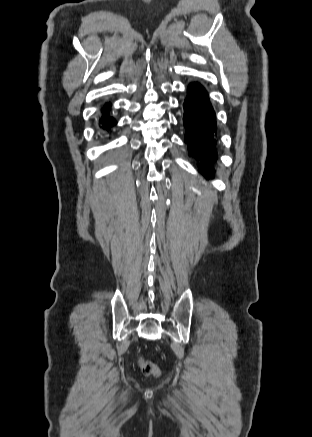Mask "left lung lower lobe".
<instances>
[{
	"label": "left lung lower lobe",
	"instance_id": "0a47b994",
	"mask_svg": "<svg viewBox=\"0 0 312 437\" xmlns=\"http://www.w3.org/2000/svg\"><path fill=\"white\" fill-rule=\"evenodd\" d=\"M183 106L185 140L189 155L194 153L198 160H203L205 164H200L199 170L205 177H213L214 170L209 165L216 160L215 113L200 84H191L188 87V97Z\"/></svg>",
	"mask_w": 312,
	"mask_h": 437
}]
</instances>
